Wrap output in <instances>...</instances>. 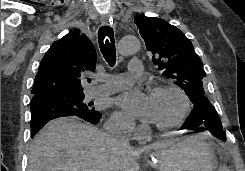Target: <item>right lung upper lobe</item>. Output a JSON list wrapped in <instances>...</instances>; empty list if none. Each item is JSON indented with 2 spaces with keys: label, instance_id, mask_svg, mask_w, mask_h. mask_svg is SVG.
Segmentation results:
<instances>
[{
  "label": "right lung upper lobe",
  "instance_id": "obj_1",
  "mask_svg": "<svg viewBox=\"0 0 245 171\" xmlns=\"http://www.w3.org/2000/svg\"><path fill=\"white\" fill-rule=\"evenodd\" d=\"M96 50L79 30L55 41L41 60L31 93L39 95L75 96L83 93L81 75L94 71Z\"/></svg>",
  "mask_w": 245,
  "mask_h": 171
}]
</instances>
